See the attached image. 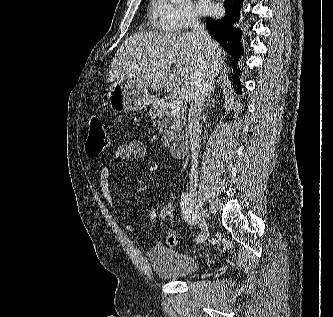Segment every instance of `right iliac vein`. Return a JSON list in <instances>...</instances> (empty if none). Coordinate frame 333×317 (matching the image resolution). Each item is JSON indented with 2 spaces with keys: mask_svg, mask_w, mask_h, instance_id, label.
<instances>
[{
  "mask_svg": "<svg viewBox=\"0 0 333 317\" xmlns=\"http://www.w3.org/2000/svg\"><path fill=\"white\" fill-rule=\"evenodd\" d=\"M192 201L195 204L196 213L200 220V228H201V237L203 241L206 240L209 236V226L207 221L205 220V211L200 205L198 204V196L196 191H192L191 193Z\"/></svg>",
  "mask_w": 333,
  "mask_h": 317,
  "instance_id": "1",
  "label": "right iliac vein"
}]
</instances>
